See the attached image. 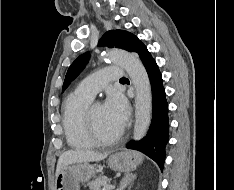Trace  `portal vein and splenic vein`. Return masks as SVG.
<instances>
[{
	"mask_svg": "<svg viewBox=\"0 0 234 190\" xmlns=\"http://www.w3.org/2000/svg\"><path fill=\"white\" fill-rule=\"evenodd\" d=\"M102 190H110V187L104 186V187L102 188Z\"/></svg>",
	"mask_w": 234,
	"mask_h": 190,
	"instance_id": "portal-vein-and-splenic-vein-1",
	"label": "portal vein and splenic vein"
}]
</instances>
